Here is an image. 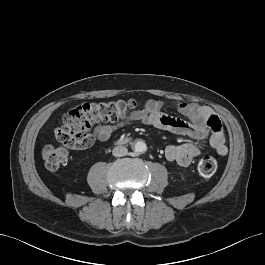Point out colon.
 Instances as JSON below:
<instances>
[{
  "label": "colon",
  "instance_id": "1",
  "mask_svg": "<svg viewBox=\"0 0 265 265\" xmlns=\"http://www.w3.org/2000/svg\"><path fill=\"white\" fill-rule=\"evenodd\" d=\"M138 102L135 100L115 102H94L78 105L68 110L62 117L61 124L54 129V136L65 146L85 145L89 139V131L96 122L116 123L136 112ZM210 127L216 133L221 130V123L213 116ZM45 167L56 171L64 166L69 158L65 147L48 145L43 149ZM216 157L211 153L202 155L198 161V171L204 177L212 176L217 171Z\"/></svg>",
  "mask_w": 265,
  "mask_h": 265
}]
</instances>
